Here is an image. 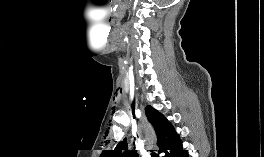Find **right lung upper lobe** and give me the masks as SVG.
Returning <instances> with one entry per match:
<instances>
[{"label": "right lung upper lobe", "mask_w": 264, "mask_h": 157, "mask_svg": "<svg viewBox=\"0 0 264 157\" xmlns=\"http://www.w3.org/2000/svg\"><path fill=\"white\" fill-rule=\"evenodd\" d=\"M148 120L154 126L160 152H165L179 138L171 123L157 110L151 106L146 107ZM135 150H128L126 139L117 144L114 150H104L100 157H137Z\"/></svg>", "instance_id": "1"}]
</instances>
